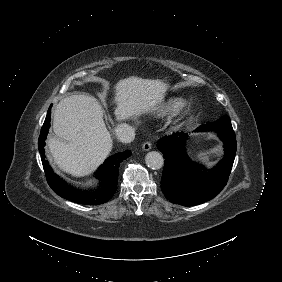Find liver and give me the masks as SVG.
Returning <instances> with one entry per match:
<instances>
[{"label":"liver","instance_id":"6515ba94","mask_svg":"<svg viewBox=\"0 0 282 282\" xmlns=\"http://www.w3.org/2000/svg\"><path fill=\"white\" fill-rule=\"evenodd\" d=\"M171 84L164 79L129 75L111 87L108 101L115 123L154 115L167 101ZM100 107L92 98L70 95L56 106L52 128L61 139L49 136L47 146L55 168L73 178L92 175L111 154L114 142Z\"/></svg>","mask_w":282,"mask_h":282}]
</instances>
